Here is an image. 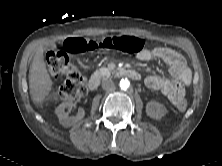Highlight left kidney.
<instances>
[{
  "instance_id": "5707ae66",
  "label": "left kidney",
  "mask_w": 222,
  "mask_h": 166,
  "mask_svg": "<svg viewBox=\"0 0 222 166\" xmlns=\"http://www.w3.org/2000/svg\"><path fill=\"white\" fill-rule=\"evenodd\" d=\"M146 113L153 119H161L166 115L167 109L159 102L150 101L146 105Z\"/></svg>"
}]
</instances>
